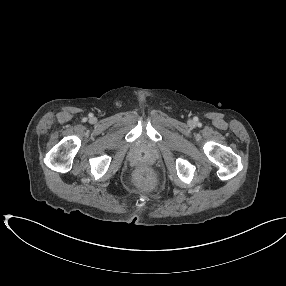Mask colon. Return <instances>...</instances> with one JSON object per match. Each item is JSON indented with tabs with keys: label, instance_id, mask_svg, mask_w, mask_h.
<instances>
[{
	"label": "colon",
	"instance_id": "obj_1",
	"mask_svg": "<svg viewBox=\"0 0 286 286\" xmlns=\"http://www.w3.org/2000/svg\"><path fill=\"white\" fill-rule=\"evenodd\" d=\"M145 179H148L146 171L145 170L139 171L136 175V180L142 182Z\"/></svg>",
	"mask_w": 286,
	"mask_h": 286
}]
</instances>
